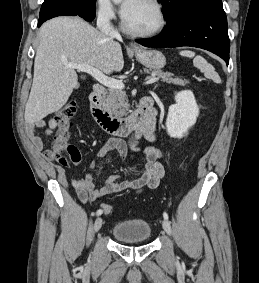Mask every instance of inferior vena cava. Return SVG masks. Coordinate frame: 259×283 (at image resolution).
<instances>
[{"label": "inferior vena cava", "mask_w": 259, "mask_h": 283, "mask_svg": "<svg viewBox=\"0 0 259 283\" xmlns=\"http://www.w3.org/2000/svg\"><path fill=\"white\" fill-rule=\"evenodd\" d=\"M97 27L106 37L110 39H120V34L115 30L110 22L109 9L102 8L98 13Z\"/></svg>", "instance_id": "602c4592"}]
</instances>
